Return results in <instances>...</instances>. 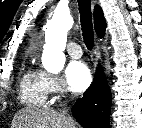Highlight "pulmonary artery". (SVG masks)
<instances>
[{
  "mask_svg": "<svg viewBox=\"0 0 142 128\" xmlns=\"http://www.w3.org/2000/svg\"><path fill=\"white\" fill-rule=\"evenodd\" d=\"M66 50H67L68 54L73 58H79L82 56V49L75 42L68 43Z\"/></svg>",
  "mask_w": 142,
  "mask_h": 128,
  "instance_id": "e3ab8cb5",
  "label": "pulmonary artery"
}]
</instances>
